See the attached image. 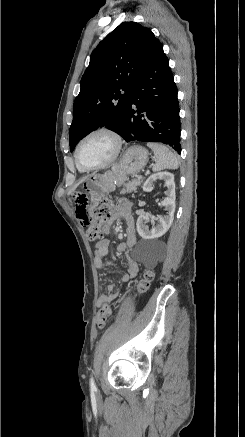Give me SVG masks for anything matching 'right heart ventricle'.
<instances>
[{"label": "right heart ventricle", "instance_id": "1", "mask_svg": "<svg viewBox=\"0 0 245 437\" xmlns=\"http://www.w3.org/2000/svg\"><path fill=\"white\" fill-rule=\"evenodd\" d=\"M77 169H78L80 172H85V171H86V170L80 168L78 165H77Z\"/></svg>", "mask_w": 245, "mask_h": 437}]
</instances>
